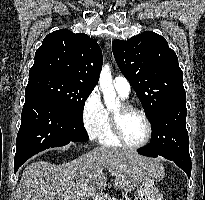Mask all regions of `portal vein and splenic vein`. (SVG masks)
I'll return each instance as SVG.
<instances>
[{
	"mask_svg": "<svg viewBox=\"0 0 205 200\" xmlns=\"http://www.w3.org/2000/svg\"><path fill=\"white\" fill-rule=\"evenodd\" d=\"M78 195H86L87 197H91L93 200H104L103 197H101L99 194L95 193V192H89L87 190L83 191V192H78Z\"/></svg>",
	"mask_w": 205,
	"mask_h": 200,
	"instance_id": "1",
	"label": "portal vein and splenic vein"
}]
</instances>
